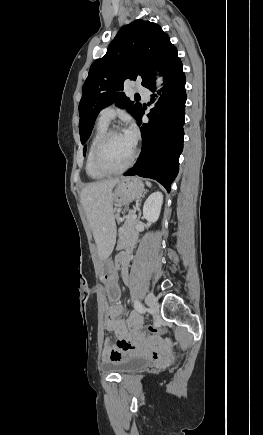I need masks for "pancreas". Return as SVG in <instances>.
Returning <instances> with one entry per match:
<instances>
[{
	"instance_id": "obj_1",
	"label": "pancreas",
	"mask_w": 263,
	"mask_h": 435,
	"mask_svg": "<svg viewBox=\"0 0 263 435\" xmlns=\"http://www.w3.org/2000/svg\"><path fill=\"white\" fill-rule=\"evenodd\" d=\"M137 222L138 220L132 219V214L130 213L125 224L119 230V248L125 247L138 238V232L135 229Z\"/></svg>"
}]
</instances>
